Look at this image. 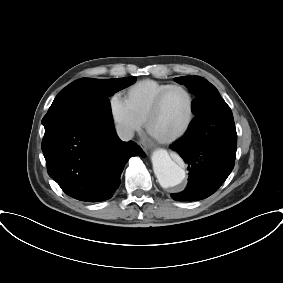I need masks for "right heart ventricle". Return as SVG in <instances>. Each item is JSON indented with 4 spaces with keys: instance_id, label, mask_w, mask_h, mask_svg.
Returning a JSON list of instances; mask_svg holds the SVG:
<instances>
[{
    "instance_id": "obj_1",
    "label": "right heart ventricle",
    "mask_w": 283,
    "mask_h": 283,
    "mask_svg": "<svg viewBox=\"0 0 283 283\" xmlns=\"http://www.w3.org/2000/svg\"><path fill=\"white\" fill-rule=\"evenodd\" d=\"M171 83L160 82L152 79L141 80L131 85L124 92V100L135 118L143 123L158 94Z\"/></svg>"
}]
</instances>
